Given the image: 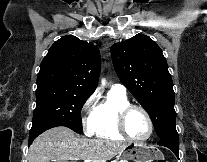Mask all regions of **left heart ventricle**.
Wrapping results in <instances>:
<instances>
[{
	"instance_id": "b2bd125f",
	"label": "left heart ventricle",
	"mask_w": 207,
	"mask_h": 162,
	"mask_svg": "<svg viewBox=\"0 0 207 162\" xmlns=\"http://www.w3.org/2000/svg\"><path fill=\"white\" fill-rule=\"evenodd\" d=\"M126 129L135 138H143L147 135L149 126L146 117L139 110H133L127 117Z\"/></svg>"
}]
</instances>
